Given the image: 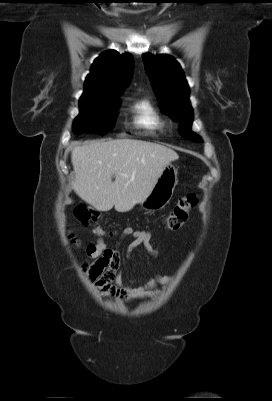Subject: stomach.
Returning <instances> with one entry per match:
<instances>
[{
  "instance_id": "stomach-1",
  "label": "stomach",
  "mask_w": 272,
  "mask_h": 401,
  "mask_svg": "<svg viewBox=\"0 0 272 401\" xmlns=\"http://www.w3.org/2000/svg\"><path fill=\"white\" fill-rule=\"evenodd\" d=\"M177 183V169L169 163L162 171L150 194L140 202L141 206L148 211L164 208L171 200Z\"/></svg>"
}]
</instances>
